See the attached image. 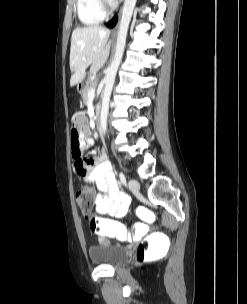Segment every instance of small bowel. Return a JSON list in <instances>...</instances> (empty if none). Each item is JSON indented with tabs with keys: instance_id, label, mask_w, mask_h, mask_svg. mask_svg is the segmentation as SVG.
Listing matches in <instances>:
<instances>
[{
	"instance_id": "c3829d8e",
	"label": "small bowel",
	"mask_w": 247,
	"mask_h": 304,
	"mask_svg": "<svg viewBox=\"0 0 247 304\" xmlns=\"http://www.w3.org/2000/svg\"><path fill=\"white\" fill-rule=\"evenodd\" d=\"M71 119H82V112H71ZM70 129V149L75 168L86 184L95 186L99 191L94 199L96 211L115 219L123 217L128 211L130 198L120 192L106 151L103 150L95 158H85L83 150L93 144L88 127L82 120H71Z\"/></svg>"
}]
</instances>
